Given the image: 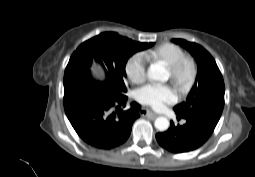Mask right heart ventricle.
Returning a JSON list of instances; mask_svg holds the SVG:
<instances>
[{
    "label": "right heart ventricle",
    "mask_w": 255,
    "mask_h": 177,
    "mask_svg": "<svg viewBox=\"0 0 255 177\" xmlns=\"http://www.w3.org/2000/svg\"><path fill=\"white\" fill-rule=\"evenodd\" d=\"M183 55H185L184 50L173 43H163L146 53L147 58L161 61L167 66L177 61Z\"/></svg>",
    "instance_id": "1"
}]
</instances>
